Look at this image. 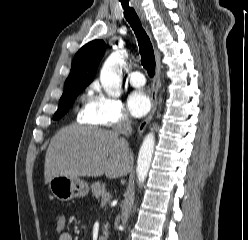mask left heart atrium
Masks as SVG:
<instances>
[{
  "label": "left heart atrium",
  "instance_id": "1",
  "mask_svg": "<svg viewBox=\"0 0 248 240\" xmlns=\"http://www.w3.org/2000/svg\"><path fill=\"white\" fill-rule=\"evenodd\" d=\"M128 109L134 117L144 116L150 109V100L141 90L133 91L128 98Z\"/></svg>",
  "mask_w": 248,
  "mask_h": 240
}]
</instances>
